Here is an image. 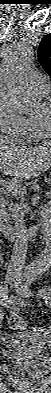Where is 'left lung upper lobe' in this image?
<instances>
[{
	"mask_svg": "<svg viewBox=\"0 0 51 393\" xmlns=\"http://www.w3.org/2000/svg\"><path fill=\"white\" fill-rule=\"evenodd\" d=\"M38 60L44 70L51 76V33L45 35L39 44Z\"/></svg>",
	"mask_w": 51,
	"mask_h": 393,
	"instance_id": "5c2ea615",
	"label": "left lung upper lobe"
}]
</instances>
